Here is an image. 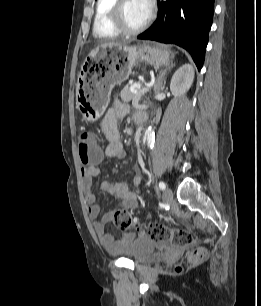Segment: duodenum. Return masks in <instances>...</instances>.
I'll list each match as a JSON object with an SVG mask.
<instances>
[{"instance_id": "duodenum-1", "label": "duodenum", "mask_w": 261, "mask_h": 306, "mask_svg": "<svg viewBox=\"0 0 261 306\" xmlns=\"http://www.w3.org/2000/svg\"><path fill=\"white\" fill-rule=\"evenodd\" d=\"M147 120V115L146 113L142 112V113H138L135 116V123L139 126L143 125Z\"/></svg>"}]
</instances>
